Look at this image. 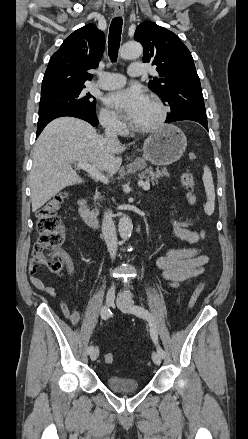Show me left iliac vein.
<instances>
[{"label": "left iliac vein", "instance_id": "left-iliac-vein-1", "mask_svg": "<svg viewBox=\"0 0 248 439\" xmlns=\"http://www.w3.org/2000/svg\"><path fill=\"white\" fill-rule=\"evenodd\" d=\"M117 306L118 308L126 313H131L132 312V307L134 306V303L128 300H117ZM152 360L156 365H160L161 361H162V357L161 355L154 351L152 353Z\"/></svg>", "mask_w": 248, "mask_h": 439}]
</instances>
